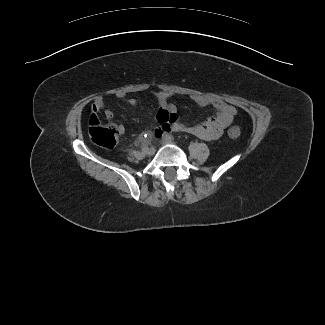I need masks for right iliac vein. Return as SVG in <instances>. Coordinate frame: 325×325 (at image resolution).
<instances>
[{
    "label": "right iliac vein",
    "mask_w": 325,
    "mask_h": 325,
    "mask_svg": "<svg viewBox=\"0 0 325 325\" xmlns=\"http://www.w3.org/2000/svg\"><path fill=\"white\" fill-rule=\"evenodd\" d=\"M154 153H155V148H153V147L149 148V149L146 151V154H147L148 156H153Z\"/></svg>",
    "instance_id": "right-iliac-vein-1"
}]
</instances>
